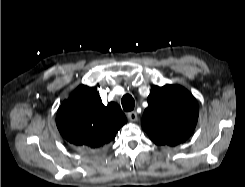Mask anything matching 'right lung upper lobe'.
Returning a JSON list of instances; mask_svg holds the SVG:
<instances>
[{"mask_svg":"<svg viewBox=\"0 0 245 187\" xmlns=\"http://www.w3.org/2000/svg\"><path fill=\"white\" fill-rule=\"evenodd\" d=\"M127 122L114 102L105 106L95 87L79 86L59 107L56 124L74 147L95 150L112 141Z\"/></svg>","mask_w":245,"mask_h":187,"instance_id":"obj_1","label":"right lung upper lobe"}]
</instances>
